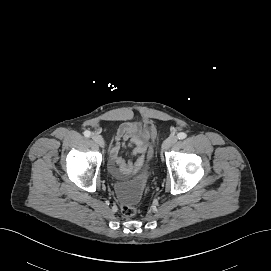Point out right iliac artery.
Instances as JSON below:
<instances>
[{
    "label": "right iliac artery",
    "mask_w": 271,
    "mask_h": 271,
    "mask_svg": "<svg viewBox=\"0 0 271 271\" xmlns=\"http://www.w3.org/2000/svg\"><path fill=\"white\" fill-rule=\"evenodd\" d=\"M84 136L85 137H90L91 136V132L88 131V130L84 131Z\"/></svg>",
    "instance_id": "1"
}]
</instances>
